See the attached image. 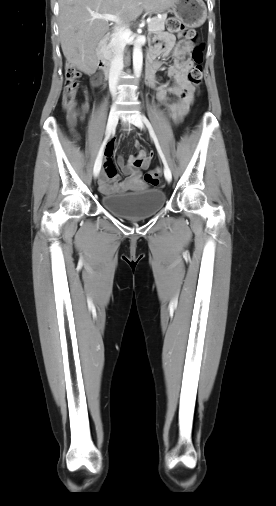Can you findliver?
Instances as JSON below:
<instances>
[{
	"instance_id": "1",
	"label": "liver",
	"mask_w": 276,
	"mask_h": 506,
	"mask_svg": "<svg viewBox=\"0 0 276 506\" xmlns=\"http://www.w3.org/2000/svg\"><path fill=\"white\" fill-rule=\"evenodd\" d=\"M176 0H59V37L68 63L92 74L97 65L95 48L109 30L108 21L91 16L116 15L133 21L143 11L156 13Z\"/></svg>"
}]
</instances>
